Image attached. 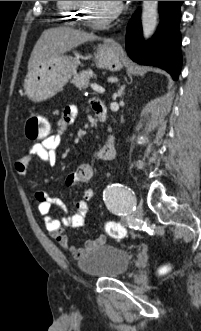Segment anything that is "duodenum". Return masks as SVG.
Returning a JSON list of instances; mask_svg holds the SVG:
<instances>
[{
	"instance_id": "obj_1",
	"label": "duodenum",
	"mask_w": 201,
	"mask_h": 331,
	"mask_svg": "<svg viewBox=\"0 0 201 331\" xmlns=\"http://www.w3.org/2000/svg\"><path fill=\"white\" fill-rule=\"evenodd\" d=\"M95 114L100 121H103L106 118V112L103 109H98Z\"/></svg>"
}]
</instances>
